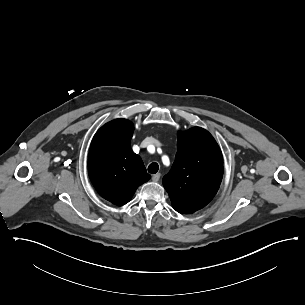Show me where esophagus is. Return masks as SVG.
<instances>
[{"label": "esophagus", "mask_w": 305, "mask_h": 305, "mask_svg": "<svg viewBox=\"0 0 305 305\" xmlns=\"http://www.w3.org/2000/svg\"><path fill=\"white\" fill-rule=\"evenodd\" d=\"M159 179H160V173H157V174H155V175L152 176V180H153L154 182L159 181Z\"/></svg>", "instance_id": "esophagus-1"}]
</instances>
